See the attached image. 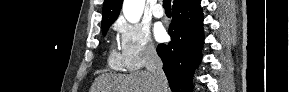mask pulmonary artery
Segmentation results:
<instances>
[{"label": "pulmonary artery", "instance_id": "pulmonary-artery-1", "mask_svg": "<svg viewBox=\"0 0 289 92\" xmlns=\"http://www.w3.org/2000/svg\"><path fill=\"white\" fill-rule=\"evenodd\" d=\"M152 13L156 18H161L164 15V11L161 7V5L157 4L153 7Z\"/></svg>", "mask_w": 289, "mask_h": 92}]
</instances>
